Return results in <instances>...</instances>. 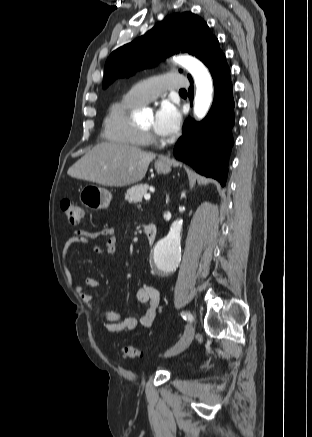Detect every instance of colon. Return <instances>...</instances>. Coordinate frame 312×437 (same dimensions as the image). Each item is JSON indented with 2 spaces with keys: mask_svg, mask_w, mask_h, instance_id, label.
<instances>
[{
  "mask_svg": "<svg viewBox=\"0 0 312 437\" xmlns=\"http://www.w3.org/2000/svg\"><path fill=\"white\" fill-rule=\"evenodd\" d=\"M61 207L70 224L76 225L80 223L84 215V210L79 204L66 199L62 201ZM123 354L126 357L133 358L140 355V350L133 345H125L123 347Z\"/></svg>",
  "mask_w": 312,
  "mask_h": 437,
  "instance_id": "obj_1",
  "label": "colon"
}]
</instances>
